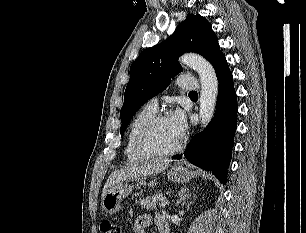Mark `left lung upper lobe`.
Instances as JSON below:
<instances>
[{
  "instance_id": "5c2ea615",
  "label": "left lung upper lobe",
  "mask_w": 306,
  "mask_h": 233,
  "mask_svg": "<svg viewBox=\"0 0 306 233\" xmlns=\"http://www.w3.org/2000/svg\"><path fill=\"white\" fill-rule=\"evenodd\" d=\"M185 52L199 53L211 64L223 54L211 23L199 14H188L167 40L143 50L132 63L120 111L121 136L136 111L165 90L171 77L182 71L178 56Z\"/></svg>"
}]
</instances>
